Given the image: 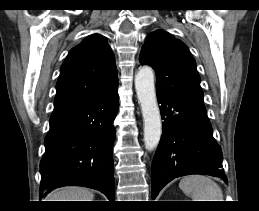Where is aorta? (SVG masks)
I'll return each mask as SVG.
<instances>
[{"label":"aorta","instance_id":"762f6f07","mask_svg":"<svg viewBox=\"0 0 259 211\" xmlns=\"http://www.w3.org/2000/svg\"><path fill=\"white\" fill-rule=\"evenodd\" d=\"M135 89L144 121V144L148 151L154 150L161 138L162 123L157 104L154 71L148 66L139 68L135 76Z\"/></svg>","mask_w":259,"mask_h":211}]
</instances>
